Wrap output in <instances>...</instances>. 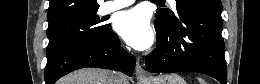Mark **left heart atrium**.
<instances>
[{
    "instance_id": "left-heart-atrium-1",
    "label": "left heart atrium",
    "mask_w": 260,
    "mask_h": 84,
    "mask_svg": "<svg viewBox=\"0 0 260 84\" xmlns=\"http://www.w3.org/2000/svg\"><path fill=\"white\" fill-rule=\"evenodd\" d=\"M114 26L124 41L134 49H146L154 41L149 16L142 8H133L119 13Z\"/></svg>"
}]
</instances>
